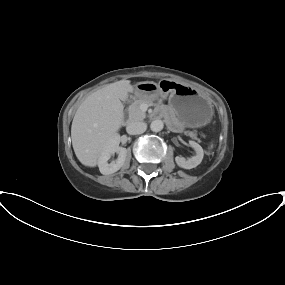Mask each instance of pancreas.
Here are the masks:
<instances>
[{
  "mask_svg": "<svg viewBox=\"0 0 285 285\" xmlns=\"http://www.w3.org/2000/svg\"><path fill=\"white\" fill-rule=\"evenodd\" d=\"M147 104L148 106H152L154 103L152 100L144 99V98H138L136 99L130 106H129V119L132 121H139L143 120L146 117V114L144 111L141 110V105ZM190 137L196 138L195 132H189L188 133Z\"/></svg>",
  "mask_w": 285,
  "mask_h": 285,
  "instance_id": "pancreas-1",
  "label": "pancreas"
}]
</instances>
